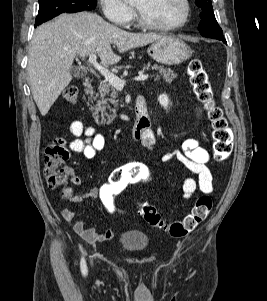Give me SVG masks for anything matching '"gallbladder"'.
Listing matches in <instances>:
<instances>
[{"label": "gallbladder", "mask_w": 267, "mask_h": 301, "mask_svg": "<svg viewBox=\"0 0 267 301\" xmlns=\"http://www.w3.org/2000/svg\"><path fill=\"white\" fill-rule=\"evenodd\" d=\"M71 73L75 78H83L86 76L87 71L84 68L78 67V66H73L71 68Z\"/></svg>", "instance_id": "1"}]
</instances>
